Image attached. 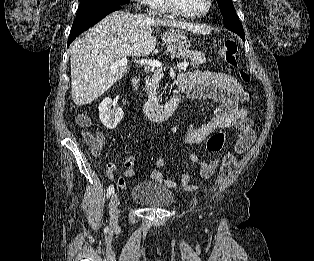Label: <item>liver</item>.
Here are the masks:
<instances>
[{
    "instance_id": "liver-1",
    "label": "liver",
    "mask_w": 314,
    "mask_h": 261,
    "mask_svg": "<svg viewBox=\"0 0 314 261\" xmlns=\"http://www.w3.org/2000/svg\"><path fill=\"white\" fill-rule=\"evenodd\" d=\"M193 30V26L172 20L151 19L124 11L106 16L71 45V92L78 106L104 94L130 69L110 66L123 58L136 60L156 47L152 26Z\"/></svg>"
}]
</instances>
